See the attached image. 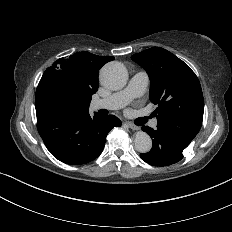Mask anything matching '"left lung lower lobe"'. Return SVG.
<instances>
[{
	"label": "left lung lower lobe",
	"mask_w": 232,
	"mask_h": 232,
	"mask_svg": "<svg viewBox=\"0 0 232 232\" xmlns=\"http://www.w3.org/2000/svg\"><path fill=\"white\" fill-rule=\"evenodd\" d=\"M142 130L152 138L151 150L140 154L145 162L153 166H168L183 158V151L189 142L158 126L156 130L143 126Z\"/></svg>",
	"instance_id": "left-lung-lower-lobe-1"
}]
</instances>
